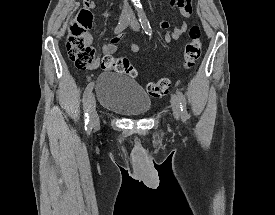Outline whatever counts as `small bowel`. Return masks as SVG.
Segmentation results:
<instances>
[{"instance_id": "obj_1", "label": "small bowel", "mask_w": 275, "mask_h": 215, "mask_svg": "<svg viewBox=\"0 0 275 215\" xmlns=\"http://www.w3.org/2000/svg\"><path fill=\"white\" fill-rule=\"evenodd\" d=\"M171 4L173 7L179 10L180 14L183 17H189L192 13V1L191 0H171ZM98 5V0H91L90 8L95 9ZM159 26L163 29H168L170 27V23L167 20H161L159 22ZM188 29L187 23L183 22L172 30H168L165 34L164 40L169 43L172 40H178ZM122 35H118L114 37L108 44L104 45L101 51L98 54V57L94 59V61L88 65V69H95L100 65V56L107 55L113 53L117 45L121 39ZM89 42L92 43L93 39L89 35ZM129 48L132 52H139V46L135 43H130Z\"/></svg>"}]
</instances>
